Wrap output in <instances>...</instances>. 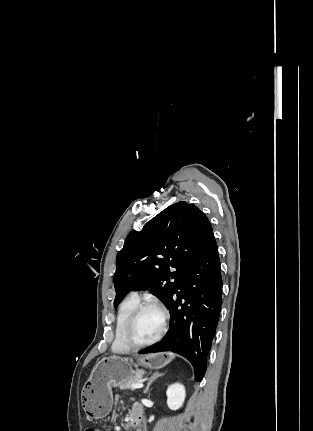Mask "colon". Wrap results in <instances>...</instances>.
I'll use <instances>...</instances> for the list:
<instances>
[{
    "label": "colon",
    "instance_id": "1",
    "mask_svg": "<svg viewBox=\"0 0 313 431\" xmlns=\"http://www.w3.org/2000/svg\"><path fill=\"white\" fill-rule=\"evenodd\" d=\"M85 431H100V430L97 428H87Z\"/></svg>",
    "mask_w": 313,
    "mask_h": 431
}]
</instances>
